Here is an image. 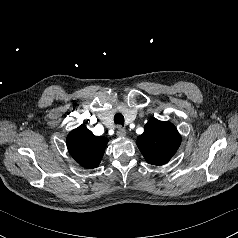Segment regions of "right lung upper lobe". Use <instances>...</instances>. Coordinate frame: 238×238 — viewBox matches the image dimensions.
<instances>
[{"mask_svg": "<svg viewBox=\"0 0 238 238\" xmlns=\"http://www.w3.org/2000/svg\"><path fill=\"white\" fill-rule=\"evenodd\" d=\"M71 156L84 168H96L105 152L108 139L95 136L85 125L72 130L66 139Z\"/></svg>", "mask_w": 238, "mask_h": 238, "instance_id": "1", "label": "right lung upper lobe"}]
</instances>
